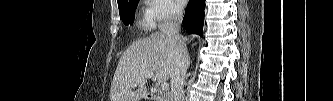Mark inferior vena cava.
<instances>
[{"instance_id": "602c4592", "label": "inferior vena cava", "mask_w": 333, "mask_h": 101, "mask_svg": "<svg viewBox=\"0 0 333 101\" xmlns=\"http://www.w3.org/2000/svg\"><path fill=\"white\" fill-rule=\"evenodd\" d=\"M183 12L174 9L169 18L159 23L160 31L166 35L167 42L174 57V71L171 76V101H184L183 87L188 68V55L185 43L179 35Z\"/></svg>"}]
</instances>
